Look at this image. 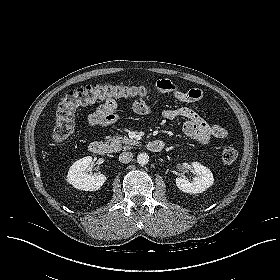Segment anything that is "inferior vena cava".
<instances>
[{
  "instance_id": "602c4592",
  "label": "inferior vena cava",
  "mask_w": 280,
  "mask_h": 280,
  "mask_svg": "<svg viewBox=\"0 0 280 280\" xmlns=\"http://www.w3.org/2000/svg\"><path fill=\"white\" fill-rule=\"evenodd\" d=\"M133 158V154L131 152H122L119 156V161L122 163H129Z\"/></svg>"
}]
</instances>
